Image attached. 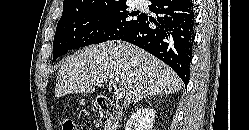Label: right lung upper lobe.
Masks as SVG:
<instances>
[{"mask_svg":"<svg viewBox=\"0 0 249 130\" xmlns=\"http://www.w3.org/2000/svg\"><path fill=\"white\" fill-rule=\"evenodd\" d=\"M110 1H115V0H64L63 1V12L64 11H77L85 7H88L90 5L110 2ZM119 1H123V0H119Z\"/></svg>","mask_w":249,"mask_h":130,"instance_id":"cb5924a9","label":"right lung upper lobe"}]
</instances>
